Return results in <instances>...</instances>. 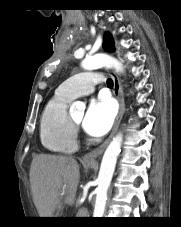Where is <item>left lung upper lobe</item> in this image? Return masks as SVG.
<instances>
[{
	"label": "left lung upper lobe",
	"mask_w": 181,
	"mask_h": 227,
	"mask_svg": "<svg viewBox=\"0 0 181 227\" xmlns=\"http://www.w3.org/2000/svg\"><path fill=\"white\" fill-rule=\"evenodd\" d=\"M113 45L114 43L112 37L109 33H106L103 39V48L108 52H112L114 51Z\"/></svg>",
	"instance_id": "1"
}]
</instances>
